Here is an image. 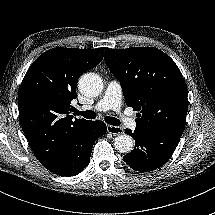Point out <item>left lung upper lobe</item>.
Here are the masks:
<instances>
[{
  "label": "left lung upper lobe",
  "instance_id": "left-lung-upper-lobe-1",
  "mask_svg": "<svg viewBox=\"0 0 215 215\" xmlns=\"http://www.w3.org/2000/svg\"><path fill=\"white\" fill-rule=\"evenodd\" d=\"M104 60L120 81L127 106L140 112L136 128L183 133L187 86L168 55L153 47L106 48Z\"/></svg>",
  "mask_w": 215,
  "mask_h": 215
}]
</instances>
